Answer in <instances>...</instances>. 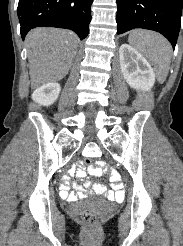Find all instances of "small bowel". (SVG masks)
<instances>
[{
    "label": "small bowel",
    "mask_w": 183,
    "mask_h": 246,
    "mask_svg": "<svg viewBox=\"0 0 183 246\" xmlns=\"http://www.w3.org/2000/svg\"><path fill=\"white\" fill-rule=\"evenodd\" d=\"M105 162H96L95 166L89 167L88 172L94 175L95 178H98L100 174H110L108 178V183L112 184V189H115V192L109 191L107 187L103 184H91L89 181H85L83 185L74 183L73 187L76 190V193H70L68 191L69 184L65 180L64 184H58V198L75 200L82 198L89 194H99L104 195L107 199L110 200H119L123 198V189H125V184H122L119 179H121V174H116V169H102L105 167ZM69 169H66V174H61V179H73V174H75V179H86V171L82 164L78 165H69Z\"/></svg>",
    "instance_id": "obj_1"
}]
</instances>
